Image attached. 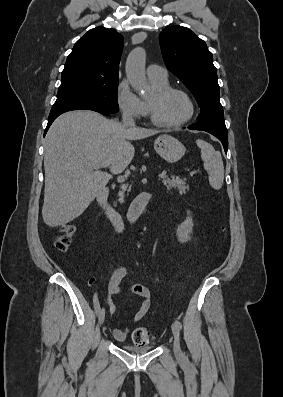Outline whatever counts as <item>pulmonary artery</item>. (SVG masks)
<instances>
[{
  "label": "pulmonary artery",
  "mask_w": 283,
  "mask_h": 397,
  "mask_svg": "<svg viewBox=\"0 0 283 397\" xmlns=\"http://www.w3.org/2000/svg\"><path fill=\"white\" fill-rule=\"evenodd\" d=\"M147 75H148L149 79H153V80H166L167 79L166 70L156 64H152V65L148 66Z\"/></svg>",
  "instance_id": "1"
}]
</instances>
